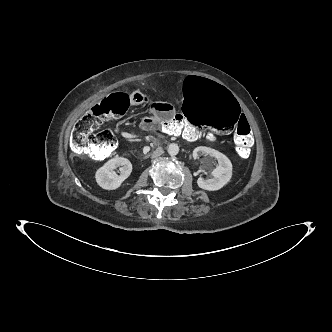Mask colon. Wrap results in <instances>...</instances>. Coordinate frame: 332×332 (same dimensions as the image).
<instances>
[{
  "mask_svg": "<svg viewBox=\"0 0 332 332\" xmlns=\"http://www.w3.org/2000/svg\"><path fill=\"white\" fill-rule=\"evenodd\" d=\"M138 99L135 92H116L94 105L74 126L70 139L72 153L97 161L111 156L116 148L115 135L100 127L106 120L125 114L130 104ZM184 99L189 118L175 115L172 121H160L164 132L175 134L197 125L214 134L226 135L235 128L236 153L242 159L249 156L253 143L250 125L241 118L239 104L228 90L203 77H194L184 87Z\"/></svg>",
  "mask_w": 332,
  "mask_h": 332,
  "instance_id": "1",
  "label": "colon"
}]
</instances>
